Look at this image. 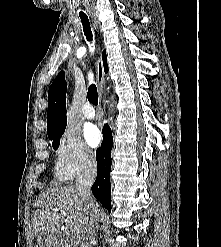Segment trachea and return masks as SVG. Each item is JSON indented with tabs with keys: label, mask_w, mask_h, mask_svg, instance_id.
Returning a JSON list of instances; mask_svg holds the SVG:
<instances>
[{
	"label": "trachea",
	"mask_w": 221,
	"mask_h": 247,
	"mask_svg": "<svg viewBox=\"0 0 221 247\" xmlns=\"http://www.w3.org/2000/svg\"><path fill=\"white\" fill-rule=\"evenodd\" d=\"M81 22L83 24L84 34L88 41L92 40V32L87 15L79 14ZM87 98L93 105H98V92L95 84H91L88 88Z\"/></svg>",
	"instance_id": "trachea-1"
}]
</instances>
